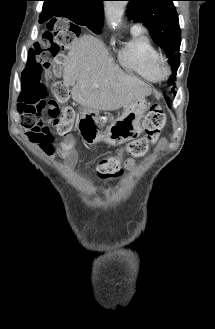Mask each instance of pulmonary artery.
Returning a JSON list of instances; mask_svg holds the SVG:
<instances>
[{
    "label": "pulmonary artery",
    "instance_id": "1",
    "mask_svg": "<svg viewBox=\"0 0 215 329\" xmlns=\"http://www.w3.org/2000/svg\"><path fill=\"white\" fill-rule=\"evenodd\" d=\"M139 30L143 31L142 26L140 24L133 25L132 31H139Z\"/></svg>",
    "mask_w": 215,
    "mask_h": 329
}]
</instances>
